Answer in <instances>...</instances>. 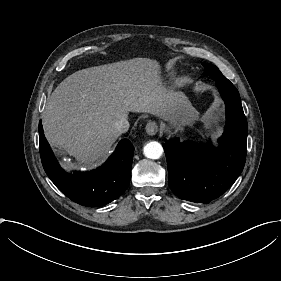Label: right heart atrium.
I'll return each mask as SVG.
<instances>
[{"label": "right heart atrium", "instance_id": "d8ad5b80", "mask_svg": "<svg viewBox=\"0 0 281 281\" xmlns=\"http://www.w3.org/2000/svg\"><path fill=\"white\" fill-rule=\"evenodd\" d=\"M109 118L112 121H117L119 119L126 118V111H125L124 107L121 104L116 103L113 106V108L111 109V112L109 114Z\"/></svg>", "mask_w": 281, "mask_h": 281}]
</instances>
